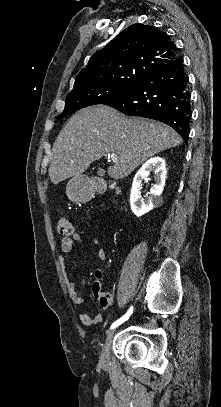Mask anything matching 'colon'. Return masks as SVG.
<instances>
[{"label":"colon","instance_id":"obj_1","mask_svg":"<svg viewBox=\"0 0 221 407\" xmlns=\"http://www.w3.org/2000/svg\"><path fill=\"white\" fill-rule=\"evenodd\" d=\"M57 231L60 235L62 236H70L71 234H73L74 232V224L71 221L69 216H62L57 224ZM95 290L100 291L101 290V286L100 285H96L95 286ZM102 308H107L109 305V302L107 301H102L100 303Z\"/></svg>","mask_w":221,"mask_h":407}]
</instances>
